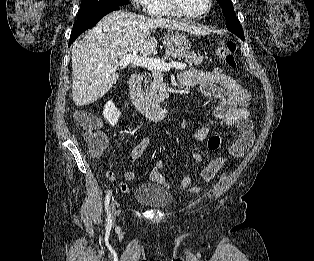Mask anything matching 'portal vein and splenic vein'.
Segmentation results:
<instances>
[{
    "label": "portal vein and splenic vein",
    "mask_w": 314,
    "mask_h": 261,
    "mask_svg": "<svg viewBox=\"0 0 314 261\" xmlns=\"http://www.w3.org/2000/svg\"><path fill=\"white\" fill-rule=\"evenodd\" d=\"M129 64L146 67L150 69L161 70V71L162 70L169 71L171 68H176L179 70H183L186 68L185 63H177V62L167 63L163 59L148 58V57L138 56L137 54H127L123 56L119 60L116 66L126 67Z\"/></svg>",
    "instance_id": "18ae733b"
}]
</instances>
